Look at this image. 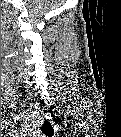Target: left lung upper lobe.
Wrapping results in <instances>:
<instances>
[{
    "label": "left lung upper lobe",
    "mask_w": 121,
    "mask_h": 137,
    "mask_svg": "<svg viewBox=\"0 0 121 137\" xmlns=\"http://www.w3.org/2000/svg\"><path fill=\"white\" fill-rule=\"evenodd\" d=\"M42 130L45 134H51L53 132V129L49 122H45L44 126L42 127Z\"/></svg>",
    "instance_id": "1"
}]
</instances>
